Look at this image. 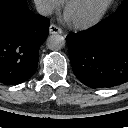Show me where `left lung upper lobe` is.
<instances>
[{
  "label": "left lung upper lobe",
  "instance_id": "5c2ea615",
  "mask_svg": "<svg viewBox=\"0 0 128 128\" xmlns=\"http://www.w3.org/2000/svg\"><path fill=\"white\" fill-rule=\"evenodd\" d=\"M128 8V0H124L117 10Z\"/></svg>",
  "mask_w": 128,
  "mask_h": 128
}]
</instances>
